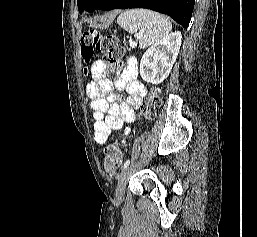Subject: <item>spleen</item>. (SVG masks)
<instances>
[{
  "label": "spleen",
  "instance_id": "spleen-1",
  "mask_svg": "<svg viewBox=\"0 0 257 237\" xmlns=\"http://www.w3.org/2000/svg\"><path fill=\"white\" fill-rule=\"evenodd\" d=\"M117 23L129 33L139 31V45L143 49L165 38L172 29L166 17L145 9L125 11L119 15Z\"/></svg>",
  "mask_w": 257,
  "mask_h": 237
}]
</instances>
